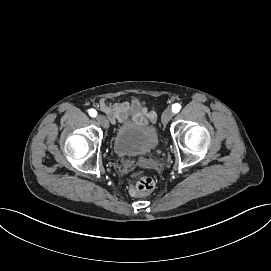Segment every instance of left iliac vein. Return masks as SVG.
<instances>
[{
	"label": "left iliac vein",
	"instance_id": "left-iliac-vein-1",
	"mask_svg": "<svg viewBox=\"0 0 271 271\" xmlns=\"http://www.w3.org/2000/svg\"><path fill=\"white\" fill-rule=\"evenodd\" d=\"M173 116V112L170 108H167L164 110L162 117H161V121L163 124H166Z\"/></svg>",
	"mask_w": 271,
	"mask_h": 271
}]
</instances>
